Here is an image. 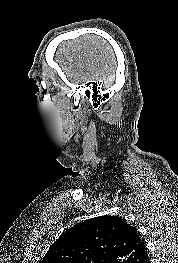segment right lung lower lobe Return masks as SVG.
<instances>
[{
	"instance_id": "1",
	"label": "right lung lower lobe",
	"mask_w": 178,
	"mask_h": 263,
	"mask_svg": "<svg viewBox=\"0 0 178 263\" xmlns=\"http://www.w3.org/2000/svg\"><path fill=\"white\" fill-rule=\"evenodd\" d=\"M145 263H150V259L148 258V259L145 261Z\"/></svg>"
}]
</instances>
